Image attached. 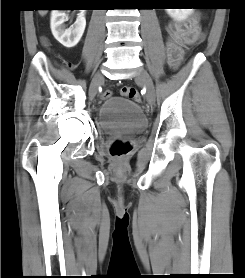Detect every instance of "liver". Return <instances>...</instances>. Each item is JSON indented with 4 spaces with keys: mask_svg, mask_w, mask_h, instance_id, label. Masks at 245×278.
<instances>
[{
    "mask_svg": "<svg viewBox=\"0 0 245 278\" xmlns=\"http://www.w3.org/2000/svg\"><path fill=\"white\" fill-rule=\"evenodd\" d=\"M46 13H47V10H39V14H40L41 16L46 15Z\"/></svg>",
    "mask_w": 245,
    "mask_h": 278,
    "instance_id": "1",
    "label": "liver"
}]
</instances>
